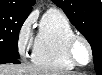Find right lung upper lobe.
<instances>
[{
  "instance_id": "1",
  "label": "right lung upper lobe",
  "mask_w": 102,
  "mask_h": 75,
  "mask_svg": "<svg viewBox=\"0 0 102 75\" xmlns=\"http://www.w3.org/2000/svg\"><path fill=\"white\" fill-rule=\"evenodd\" d=\"M35 0H0V10L30 13Z\"/></svg>"
}]
</instances>
